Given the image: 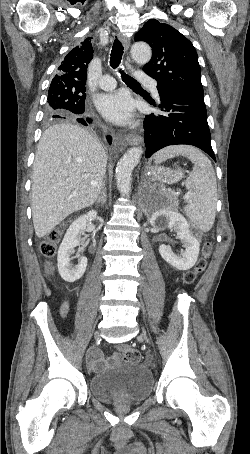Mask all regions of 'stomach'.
I'll list each match as a JSON object with an SVG mask.
<instances>
[{"mask_svg":"<svg viewBox=\"0 0 250 454\" xmlns=\"http://www.w3.org/2000/svg\"><path fill=\"white\" fill-rule=\"evenodd\" d=\"M153 179L165 183H174L182 177V173L171 169H157L152 174Z\"/></svg>","mask_w":250,"mask_h":454,"instance_id":"obj_1","label":"stomach"}]
</instances>
